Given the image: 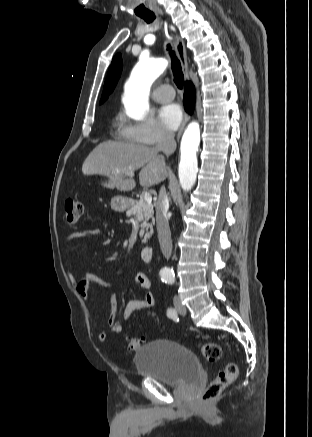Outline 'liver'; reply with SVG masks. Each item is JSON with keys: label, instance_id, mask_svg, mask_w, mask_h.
<instances>
[{"label": "liver", "instance_id": "liver-1", "mask_svg": "<svg viewBox=\"0 0 312 437\" xmlns=\"http://www.w3.org/2000/svg\"><path fill=\"white\" fill-rule=\"evenodd\" d=\"M141 168L139 182L143 187L160 183L167 175L165 164L155 147L134 143L106 141L88 155L82 166L84 175H103L109 178L102 185L109 189L130 191L136 186L127 175Z\"/></svg>", "mask_w": 312, "mask_h": 437}]
</instances>
